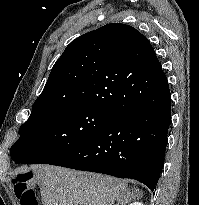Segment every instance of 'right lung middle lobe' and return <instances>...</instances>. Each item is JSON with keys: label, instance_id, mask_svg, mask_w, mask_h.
I'll return each instance as SVG.
<instances>
[{"label": "right lung middle lobe", "instance_id": "dd1d6c3e", "mask_svg": "<svg viewBox=\"0 0 199 205\" xmlns=\"http://www.w3.org/2000/svg\"><path fill=\"white\" fill-rule=\"evenodd\" d=\"M114 118V112L89 105L32 109L10 149L15 164H49L85 144Z\"/></svg>", "mask_w": 199, "mask_h": 205}]
</instances>
